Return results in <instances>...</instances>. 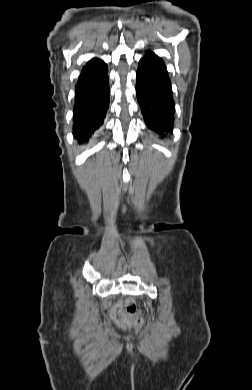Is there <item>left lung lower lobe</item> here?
Wrapping results in <instances>:
<instances>
[{
  "label": "left lung lower lobe",
  "instance_id": "0a47b994",
  "mask_svg": "<svg viewBox=\"0 0 252 390\" xmlns=\"http://www.w3.org/2000/svg\"><path fill=\"white\" fill-rule=\"evenodd\" d=\"M136 78L137 99L147 127L161 135L171 132L175 103L163 60L148 52L139 61Z\"/></svg>",
  "mask_w": 252,
  "mask_h": 390
}]
</instances>
